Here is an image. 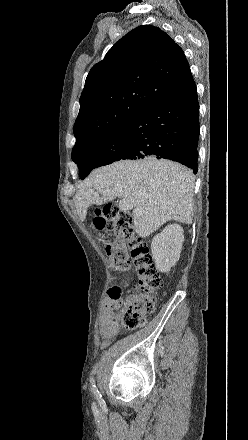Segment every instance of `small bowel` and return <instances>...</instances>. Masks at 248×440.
<instances>
[{"instance_id": "obj_1", "label": "small bowel", "mask_w": 248, "mask_h": 440, "mask_svg": "<svg viewBox=\"0 0 248 440\" xmlns=\"http://www.w3.org/2000/svg\"><path fill=\"white\" fill-rule=\"evenodd\" d=\"M115 308L107 300L105 302L102 314L100 317V334L102 336L101 347H107L111 340H113L119 333V327L113 321Z\"/></svg>"}]
</instances>
